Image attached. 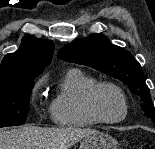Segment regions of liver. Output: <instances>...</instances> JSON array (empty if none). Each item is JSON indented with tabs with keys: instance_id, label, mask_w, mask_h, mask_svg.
<instances>
[{
	"instance_id": "liver-1",
	"label": "liver",
	"mask_w": 155,
	"mask_h": 149,
	"mask_svg": "<svg viewBox=\"0 0 155 149\" xmlns=\"http://www.w3.org/2000/svg\"><path fill=\"white\" fill-rule=\"evenodd\" d=\"M94 129L24 126L0 131V149H70Z\"/></svg>"
}]
</instances>
